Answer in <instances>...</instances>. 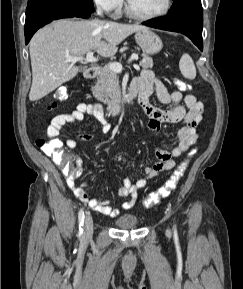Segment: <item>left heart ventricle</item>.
I'll list each match as a JSON object with an SVG mask.
<instances>
[{
    "mask_svg": "<svg viewBox=\"0 0 243 289\" xmlns=\"http://www.w3.org/2000/svg\"><path fill=\"white\" fill-rule=\"evenodd\" d=\"M166 0H129L134 11L142 15L155 14L165 6Z\"/></svg>",
    "mask_w": 243,
    "mask_h": 289,
    "instance_id": "1",
    "label": "left heart ventricle"
}]
</instances>
